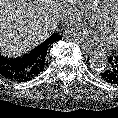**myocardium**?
<instances>
[{
  "instance_id": "1",
  "label": "myocardium",
  "mask_w": 118,
  "mask_h": 118,
  "mask_svg": "<svg viewBox=\"0 0 118 118\" xmlns=\"http://www.w3.org/2000/svg\"><path fill=\"white\" fill-rule=\"evenodd\" d=\"M118 5V0H111L109 3H107L104 7L101 8L100 12H103L105 14H110L114 10V8ZM114 49L118 50V44H113L112 46Z\"/></svg>"
}]
</instances>
